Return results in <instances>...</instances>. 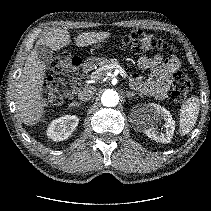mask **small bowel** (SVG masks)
Returning a JSON list of instances; mask_svg holds the SVG:
<instances>
[{"label": "small bowel", "instance_id": "small-bowel-1", "mask_svg": "<svg viewBox=\"0 0 211 211\" xmlns=\"http://www.w3.org/2000/svg\"><path fill=\"white\" fill-rule=\"evenodd\" d=\"M138 66L142 70H148L150 74L146 79L137 73L133 74V87L145 95L163 99L170 86L171 74L179 69L180 63L175 56L163 58L162 55L156 54L152 57H140Z\"/></svg>", "mask_w": 211, "mask_h": 211}]
</instances>
